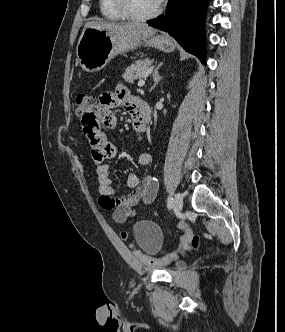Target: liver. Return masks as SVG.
I'll list each match as a JSON object with an SVG mask.
<instances>
[{"instance_id": "liver-1", "label": "liver", "mask_w": 285, "mask_h": 332, "mask_svg": "<svg viewBox=\"0 0 285 332\" xmlns=\"http://www.w3.org/2000/svg\"><path fill=\"white\" fill-rule=\"evenodd\" d=\"M95 27L108 31L111 35L126 37L133 40H146L156 33V29L140 23L115 24L105 21H91L85 24L84 28Z\"/></svg>"}]
</instances>
